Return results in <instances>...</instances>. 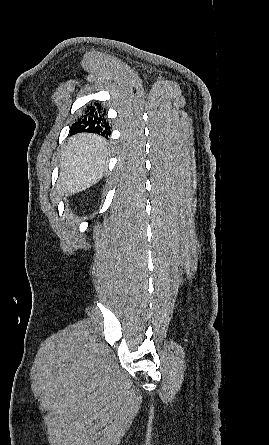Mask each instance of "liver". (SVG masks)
<instances>
[{"label":"liver","instance_id":"6515ba94","mask_svg":"<svg viewBox=\"0 0 269 445\" xmlns=\"http://www.w3.org/2000/svg\"><path fill=\"white\" fill-rule=\"evenodd\" d=\"M106 153L107 143L97 135L71 137L61 158L57 192L71 196L97 183L106 169Z\"/></svg>","mask_w":269,"mask_h":445}]
</instances>
